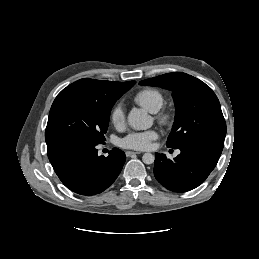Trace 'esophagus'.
<instances>
[{
    "label": "esophagus",
    "mask_w": 259,
    "mask_h": 259,
    "mask_svg": "<svg viewBox=\"0 0 259 259\" xmlns=\"http://www.w3.org/2000/svg\"><path fill=\"white\" fill-rule=\"evenodd\" d=\"M137 154H141L140 152H134V151H126V156L127 157H130V156H133V155H137Z\"/></svg>",
    "instance_id": "esophagus-1"
}]
</instances>
